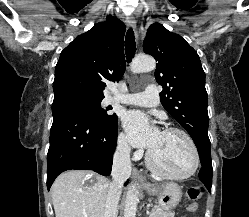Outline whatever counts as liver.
<instances>
[{
	"instance_id": "liver-1",
	"label": "liver",
	"mask_w": 249,
	"mask_h": 217,
	"mask_svg": "<svg viewBox=\"0 0 249 217\" xmlns=\"http://www.w3.org/2000/svg\"><path fill=\"white\" fill-rule=\"evenodd\" d=\"M87 180L90 185H85ZM109 185L107 178L92 171L61 174L51 188L55 217H104Z\"/></svg>"
}]
</instances>
